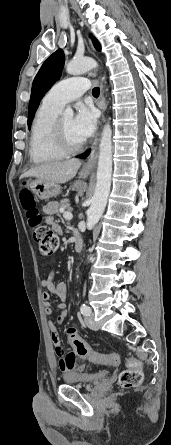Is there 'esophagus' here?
Wrapping results in <instances>:
<instances>
[{
  "mask_svg": "<svg viewBox=\"0 0 171 445\" xmlns=\"http://www.w3.org/2000/svg\"><path fill=\"white\" fill-rule=\"evenodd\" d=\"M101 88H102V91H101V96H100V101H99V107L102 110V113H104V111L106 110V101H105V97L103 94V85H101ZM97 156H98L97 144H95L94 147L92 148L91 154L89 155L86 163L82 167V172L88 173L93 170V168L96 165Z\"/></svg>",
  "mask_w": 171,
  "mask_h": 445,
  "instance_id": "1",
  "label": "esophagus"
}]
</instances>
